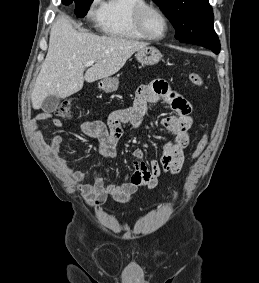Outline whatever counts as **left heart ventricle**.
I'll list each match as a JSON object with an SVG mask.
<instances>
[{"label":"left heart ventricle","mask_w":259,"mask_h":283,"mask_svg":"<svg viewBox=\"0 0 259 283\" xmlns=\"http://www.w3.org/2000/svg\"><path fill=\"white\" fill-rule=\"evenodd\" d=\"M147 26L151 35L161 37L166 31V25L163 19L156 13H151L147 17Z\"/></svg>","instance_id":"left-heart-ventricle-1"}]
</instances>
